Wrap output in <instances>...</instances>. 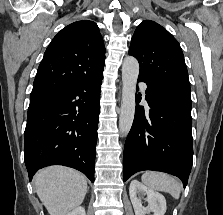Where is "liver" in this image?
Wrapping results in <instances>:
<instances>
[{
  "label": "liver",
  "instance_id": "1",
  "mask_svg": "<svg viewBox=\"0 0 223 215\" xmlns=\"http://www.w3.org/2000/svg\"><path fill=\"white\" fill-rule=\"evenodd\" d=\"M38 197L50 215H65L82 203L87 193L83 173L64 165L39 169L33 177Z\"/></svg>",
  "mask_w": 223,
  "mask_h": 215
}]
</instances>
